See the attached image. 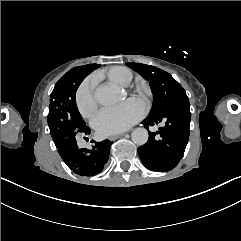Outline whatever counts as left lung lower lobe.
Here are the masks:
<instances>
[{
  "label": "left lung lower lobe",
  "mask_w": 241,
  "mask_h": 241,
  "mask_svg": "<svg viewBox=\"0 0 241 241\" xmlns=\"http://www.w3.org/2000/svg\"><path fill=\"white\" fill-rule=\"evenodd\" d=\"M190 104L189 100L181 99L168 107L162 113L148 116L142 124L149 126L165 121V126L157 133L149 132L146 144L138 148L143 165L157 172L173 169L181 160L190 133ZM159 134L160 137H156Z\"/></svg>",
  "instance_id": "obj_1"
}]
</instances>
